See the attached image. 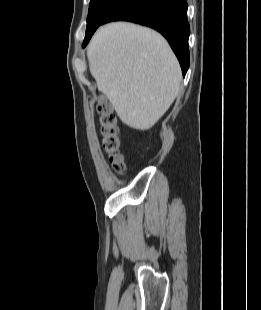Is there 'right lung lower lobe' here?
<instances>
[{"label":"right lung lower lobe","instance_id":"98d812e1","mask_svg":"<svg viewBox=\"0 0 261 310\" xmlns=\"http://www.w3.org/2000/svg\"><path fill=\"white\" fill-rule=\"evenodd\" d=\"M116 20L139 23L159 31L176 54L185 76L190 60L188 49L190 27L185 0H126L101 24ZM95 30L85 35L83 47L87 45Z\"/></svg>","mask_w":261,"mask_h":310}]
</instances>
